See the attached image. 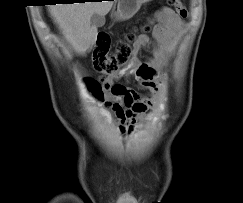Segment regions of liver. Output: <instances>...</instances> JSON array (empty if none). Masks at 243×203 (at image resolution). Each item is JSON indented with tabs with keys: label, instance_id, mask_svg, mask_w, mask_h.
<instances>
[{
	"label": "liver",
	"instance_id": "1",
	"mask_svg": "<svg viewBox=\"0 0 243 203\" xmlns=\"http://www.w3.org/2000/svg\"><path fill=\"white\" fill-rule=\"evenodd\" d=\"M112 1L50 5L49 12L58 24L66 41L78 54H85L95 44L97 28L91 26L94 13L106 15Z\"/></svg>",
	"mask_w": 243,
	"mask_h": 203
}]
</instances>
